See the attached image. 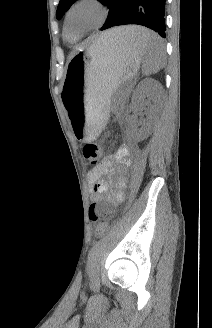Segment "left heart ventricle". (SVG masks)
<instances>
[{"mask_svg": "<svg viewBox=\"0 0 212 328\" xmlns=\"http://www.w3.org/2000/svg\"><path fill=\"white\" fill-rule=\"evenodd\" d=\"M100 13L90 6H83L74 11L70 21V32L73 34L84 31L98 22Z\"/></svg>", "mask_w": 212, "mask_h": 328, "instance_id": "obj_1", "label": "left heart ventricle"}]
</instances>
